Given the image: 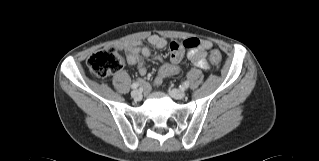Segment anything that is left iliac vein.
Segmentation results:
<instances>
[{
  "instance_id": "4c4485c4",
  "label": "left iliac vein",
  "mask_w": 319,
  "mask_h": 161,
  "mask_svg": "<svg viewBox=\"0 0 319 161\" xmlns=\"http://www.w3.org/2000/svg\"><path fill=\"white\" fill-rule=\"evenodd\" d=\"M169 92H170V95L177 100L183 99L186 96V93L183 90L172 89Z\"/></svg>"
}]
</instances>
